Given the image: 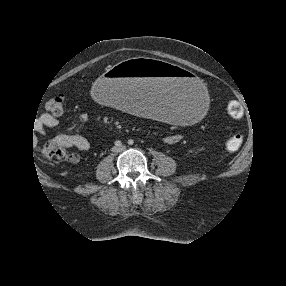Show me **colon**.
<instances>
[{"label":"colon","instance_id":"colon-1","mask_svg":"<svg viewBox=\"0 0 286 286\" xmlns=\"http://www.w3.org/2000/svg\"><path fill=\"white\" fill-rule=\"evenodd\" d=\"M65 105L63 94H57L46 102V108L54 115H60ZM227 113L234 119H241L244 115V109L238 101H229L226 106ZM243 144V137L239 134H233L225 142L226 149L230 152L238 151ZM43 154L52 161H61L66 157V152L62 145L57 141H51L44 145Z\"/></svg>","mask_w":286,"mask_h":286}]
</instances>
